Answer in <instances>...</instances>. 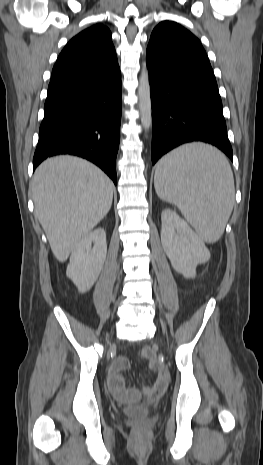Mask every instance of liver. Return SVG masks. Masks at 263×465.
<instances>
[{
	"label": "liver",
	"instance_id": "1",
	"mask_svg": "<svg viewBox=\"0 0 263 465\" xmlns=\"http://www.w3.org/2000/svg\"><path fill=\"white\" fill-rule=\"evenodd\" d=\"M35 214L54 256L65 262L81 239L107 215L113 200L109 177L69 155L39 165L32 184Z\"/></svg>",
	"mask_w": 263,
	"mask_h": 465
}]
</instances>
